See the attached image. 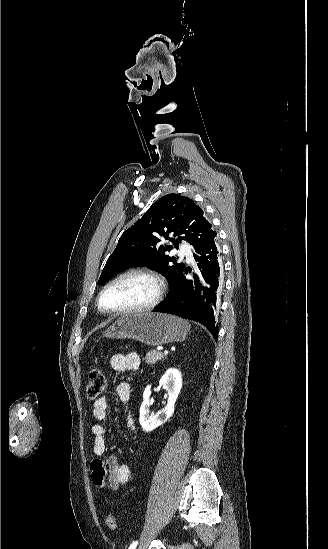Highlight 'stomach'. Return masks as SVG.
I'll list each match as a JSON object with an SVG mask.
<instances>
[{"label":"stomach","instance_id":"stomach-1","mask_svg":"<svg viewBox=\"0 0 328 549\" xmlns=\"http://www.w3.org/2000/svg\"><path fill=\"white\" fill-rule=\"evenodd\" d=\"M190 325L184 319L166 313H126L108 327L104 337L109 339H134L150 347L185 341Z\"/></svg>","mask_w":328,"mask_h":549}]
</instances>
